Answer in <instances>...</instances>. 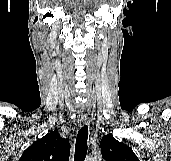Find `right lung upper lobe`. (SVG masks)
<instances>
[{"label": "right lung upper lobe", "mask_w": 171, "mask_h": 161, "mask_svg": "<svg viewBox=\"0 0 171 161\" xmlns=\"http://www.w3.org/2000/svg\"><path fill=\"white\" fill-rule=\"evenodd\" d=\"M69 153V140L54 130L28 147L19 161H68Z\"/></svg>", "instance_id": "1"}]
</instances>
